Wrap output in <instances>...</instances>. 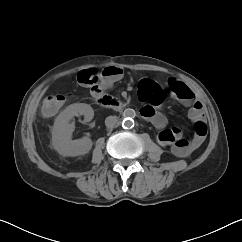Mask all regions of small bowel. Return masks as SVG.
I'll use <instances>...</instances> for the list:
<instances>
[{
  "label": "small bowel",
  "instance_id": "1",
  "mask_svg": "<svg viewBox=\"0 0 242 242\" xmlns=\"http://www.w3.org/2000/svg\"><path fill=\"white\" fill-rule=\"evenodd\" d=\"M124 75L122 68L118 66H108L103 69L100 79L95 87L92 88L93 95L102 94L105 90L110 89L118 80ZM180 84L186 90V95L179 97L174 89V86ZM168 87L170 95L173 98H178L181 102L189 107L188 116L194 123V126L200 124L206 127L205 116L203 112V105L198 101L192 90L182 81L177 79H169ZM139 98L144 103L141 107V115L151 122L154 127L158 129L157 140L160 145H172L176 155L185 157L191 154L194 150L200 147L203 143L206 134L201 135L199 132L194 131L193 137L187 140L183 137L182 132L176 127H168L167 119L162 115L155 106L149 104L152 99L144 97L139 92ZM155 105L159 104L153 101Z\"/></svg>",
  "mask_w": 242,
  "mask_h": 242
}]
</instances>
